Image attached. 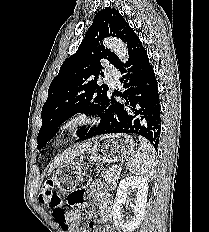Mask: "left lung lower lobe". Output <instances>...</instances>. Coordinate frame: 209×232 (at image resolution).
I'll return each instance as SVG.
<instances>
[{"instance_id": "obj_1", "label": "left lung lower lobe", "mask_w": 209, "mask_h": 232, "mask_svg": "<svg viewBox=\"0 0 209 232\" xmlns=\"http://www.w3.org/2000/svg\"><path fill=\"white\" fill-rule=\"evenodd\" d=\"M125 102L109 98L100 123L92 127L84 140L110 133H134L148 139L157 149L161 132V108L158 85L142 42L138 39L129 50L128 62L117 68Z\"/></svg>"}]
</instances>
